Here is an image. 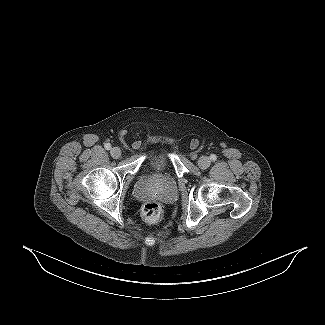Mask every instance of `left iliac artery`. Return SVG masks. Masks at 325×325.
Segmentation results:
<instances>
[{"label": "left iliac artery", "instance_id": "obj_1", "mask_svg": "<svg viewBox=\"0 0 325 325\" xmlns=\"http://www.w3.org/2000/svg\"><path fill=\"white\" fill-rule=\"evenodd\" d=\"M210 158H211L212 161H216L217 156H216L215 154H212V155L210 156Z\"/></svg>", "mask_w": 325, "mask_h": 325}]
</instances>
